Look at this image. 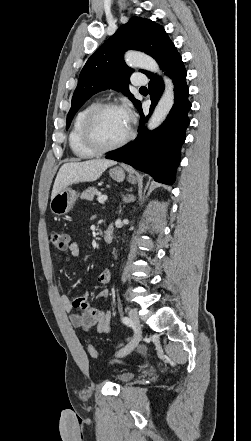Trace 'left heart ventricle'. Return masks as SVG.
<instances>
[{
	"label": "left heart ventricle",
	"mask_w": 251,
	"mask_h": 441,
	"mask_svg": "<svg viewBox=\"0 0 251 441\" xmlns=\"http://www.w3.org/2000/svg\"><path fill=\"white\" fill-rule=\"evenodd\" d=\"M129 124V115L125 110H105L96 117L93 134L101 145H112L126 136Z\"/></svg>",
	"instance_id": "obj_1"
}]
</instances>
